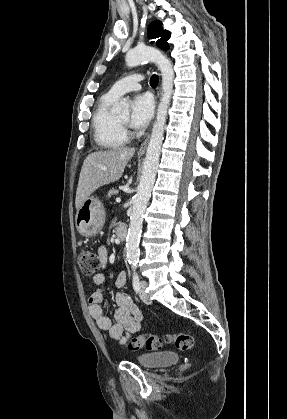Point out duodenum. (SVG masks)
Listing matches in <instances>:
<instances>
[{"mask_svg": "<svg viewBox=\"0 0 287 419\" xmlns=\"http://www.w3.org/2000/svg\"><path fill=\"white\" fill-rule=\"evenodd\" d=\"M127 236V228L121 225L116 230V237L119 241H123Z\"/></svg>", "mask_w": 287, "mask_h": 419, "instance_id": "1", "label": "duodenum"}]
</instances>
